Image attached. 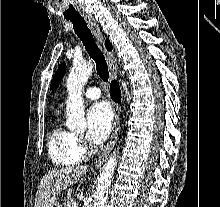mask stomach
<instances>
[{
    "label": "stomach",
    "instance_id": "stomach-1",
    "mask_svg": "<svg viewBox=\"0 0 220 207\" xmlns=\"http://www.w3.org/2000/svg\"><path fill=\"white\" fill-rule=\"evenodd\" d=\"M51 207H61V205H60L59 202L55 201V202L51 205Z\"/></svg>",
    "mask_w": 220,
    "mask_h": 207
}]
</instances>
